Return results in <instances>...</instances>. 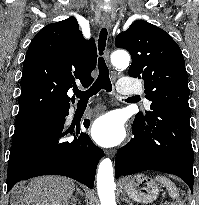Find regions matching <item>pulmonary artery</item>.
<instances>
[{
	"instance_id": "1",
	"label": "pulmonary artery",
	"mask_w": 199,
	"mask_h": 205,
	"mask_svg": "<svg viewBox=\"0 0 199 205\" xmlns=\"http://www.w3.org/2000/svg\"><path fill=\"white\" fill-rule=\"evenodd\" d=\"M117 87H118V91L122 94L130 95V94L140 92V88L136 86L126 85V81L123 79L118 81ZM145 104L148 106L150 103L149 101L146 100Z\"/></svg>"
}]
</instances>
